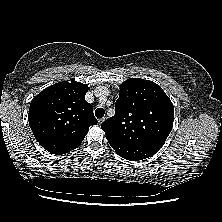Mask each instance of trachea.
<instances>
[{"label":"trachea","mask_w":222,"mask_h":222,"mask_svg":"<svg viewBox=\"0 0 222 222\" xmlns=\"http://www.w3.org/2000/svg\"><path fill=\"white\" fill-rule=\"evenodd\" d=\"M104 113H105V111H104L103 108H97V109L95 110V116H96L97 118H102V117L104 116Z\"/></svg>","instance_id":"obj_1"}]
</instances>
